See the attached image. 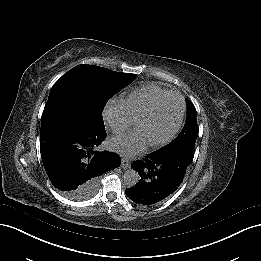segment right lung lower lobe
Returning a JSON list of instances; mask_svg holds the SVG:
<instances>
[{"instance_id": "right-lung-lower-lobe-1", "label": "right lung lower lobe", "mask_w": 261, "mask_h": 261, "mask_svg": "<svg viewBox=\"0 0 261 261\" xmlns=\"http://www.w3.org/2000/svg\"><path fill=\"white\" fill-rule=\"evenodd\" d=\"M105 137L102 119L64 103H47L41 117L40 151L53 186L64 194L77 193L119 167L117 154L97 151Z\"/></svg>"}]
</instances>
